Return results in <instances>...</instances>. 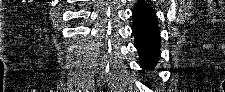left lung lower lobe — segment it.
Segmentation results:
<instances>
[{
	"instance_id": "1",
	"label": "left lung lower lobe",
	"mask_w": 225,
	"mask_h": 92,
	"mask_svg": "<svg viewBox=\"0 0 225 92\" xmlns=\"http://www.w3.org/2000/svg\"><path fill=\"white\" fill-rule=\"evenodd\" d=\"M132 31L139 52L140 67L152 70L160 54V31L154 9L144 0H138L132 10Z\"/></svg>"
}]
</instances>
